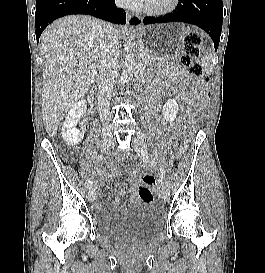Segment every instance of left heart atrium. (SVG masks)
Wrapping results in <instances>:
<instances>
[{"instance_id": "obj_1", "label": "left heart atrium", "mask_w": 265, "mask_h": 273, "mask_svg": "<svg viewBox=\"0 0 265 273\" xmlns=\"http://www.w3.org/2000/svg\"><path fill=\"white\" fill-rule=\"evenodd\" d=\"M137 1H139V2H146L147 0H137Z\"/></svg>"}]
</instances>
